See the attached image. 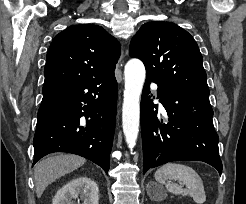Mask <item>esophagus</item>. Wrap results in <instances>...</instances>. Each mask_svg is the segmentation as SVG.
<instances>
[{
  "mask_svg": "<svg viewBox=\"0 0 246 204\" xmlns=\"http://www.w3.org/2000/svg\"><path fill=\"white\" fill-rule=\"evenodd\" d=\"M123 59V54H122V56H121V60Z\"/></svg>",
  "mask_w": 246,
  "mask_h": 204,
  "instance_id": "1",
  "label": "esophagus"
}]
</instances>
